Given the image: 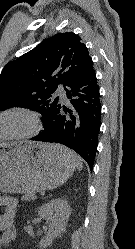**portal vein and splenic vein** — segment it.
Masks as SVG:
<instances>
[{
    "instance_id": "portal-vein-and-splenic-vein-1",
    "label": "portal vein and splenic vein",
    "mask_w": 135,
    "mask_h": 249,
    "mask_svg": "<svg viewBox=\"0 0 135 249\" xmlns=\"http://www.w3.org/2000/svg\"><path fill=\"white\" fill-rule=\"evenodd\" d=\"M32 199H36V196H32Z\"/></svg>"
}]
</instances>
